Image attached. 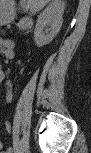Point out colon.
Masks as SVG:
<instances>
[{
    "label": "colon",
    "instance_id": "5ec220e1",
    "mask_svg": "<svg viewBox=\"0 0 91 153\" xmlns=\"http://www.w3.org/2000/svg\"><path fill=\"white\" fill-rule=\"evenodd\" d=\"M30 24H31L30 21H27V20H24V21L21 22V25H22L23 27H28ZM6 41H7V40L4 39V40L2 41V43L4 44V43H6Z\"/></svg>",
    "mask_w": 91,
    "mask_h": 153
}]
</instances>
